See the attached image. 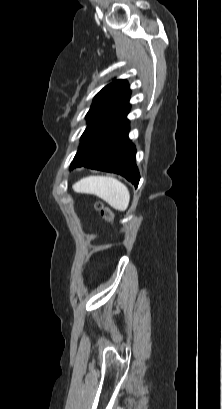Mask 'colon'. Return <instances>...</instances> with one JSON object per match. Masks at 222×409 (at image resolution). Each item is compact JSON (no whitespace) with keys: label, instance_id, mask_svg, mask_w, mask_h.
Wrapping results in <instances>:
<instances>
[{"label":"colon","instance_id":"1","mask_svg":"<svg viewBox=\"0 0 222 409\" xmlns=\"http://www.w3.org/2000/svg\"><path fill=\"white\" fill-rule=\"evenodd\" d=\"M96 209L100 212L101 216L105 220H107L109 222L114 221L113 213L107 207H105L103 203H101V202L96 203Z\"/></svg>","mask_w":222,"mask_h":409}]
</instances>
